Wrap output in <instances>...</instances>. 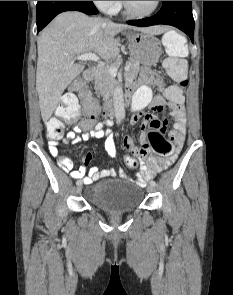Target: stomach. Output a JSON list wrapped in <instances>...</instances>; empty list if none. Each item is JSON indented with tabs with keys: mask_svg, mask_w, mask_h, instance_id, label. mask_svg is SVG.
<instances>
[{
	"mask_svg": "<svg viewBox=\"0 0 233 295\" xmlns=\"http://www.w3.org/2000/svg\"><path fill=\"white\" fill-rule=\"evenodd\" d=\"M129 50L132 58L145 66L155 65L161 56V43L153 32H128Z\"/></svg>",
	"mask_w": 233,
	"mask_h": 295,
	"instance_id": "obj_1",
	"label": "stomach"
}]
</instances>
